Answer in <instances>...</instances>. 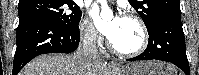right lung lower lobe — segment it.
Instances as JSON below:
<instances>
[{"label": "right lung lower lobe", "instance_id": "right-lung-lower-lobe-1", "mask_svg": "<svg viewBox=\"0 0 199 75\" xmlns=\"http://www.w3.org/2000/svg\"><path fill=\"white\" fill-rule=\"evenodd\" d=\"M79 26L65 29L51 21L28 17L19 21L12 75L44 53H71L79 45Z\"/></svg>", "mask_w": 199, "mask_h": 75}]
</instances>
